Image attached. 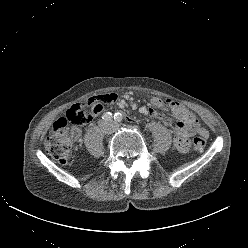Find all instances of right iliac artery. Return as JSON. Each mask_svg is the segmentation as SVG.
Wrapping results in <instances>:
<instances>
[{
	"mask_svg": "<svg viewBox=\"0 0 248 248\" xmlns=\"http://www.w3.org/2000/svg\"><path fill=\"white\" fill-rule=\"evenodd\" d=\"M102 119L105 121H110L112 119V114L110 112H106L103 114Z\"/></svg>",
	"mask_w": 248,
	"mask_h": 248,
	"instance_id": "1",
	"label": "right iliac artery"
}]
</instances>
